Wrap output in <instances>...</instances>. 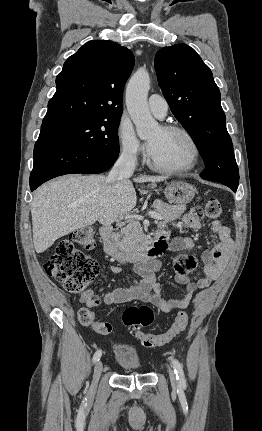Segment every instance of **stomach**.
Instances as JSON below:
<instances>
[{
    "label": "stomach",
    "instance_id": "0dacf381",
    "mask_svg": "<svg viewBox=\"0 0 262 431\" xmlns=\"http://www.w3.org/2000/svg\"><path fill=\"white\" fill-rule=\"evenodd\" d=\"M164 194L169 202L176 205H185L195 196V189L184 181L171 182L164 189Z\"/></svg>",
    "mask_w": 262,
    "mask_h": 431
}]
</instances>
